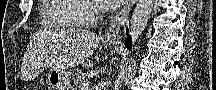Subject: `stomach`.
Listing matches in <instances>:
<instances>
[{
    "label": "stomach",
    "instance_id": "0dacf381",
    "mask_svg": "<svg viewBox=\"0 0 216 90\" xmlns=\"http://www.w3.org/2000/svg\"><path fill=\"white\" fill-rule=\"evenodd\" d=\"M109 44H114L110 42ZM48 84L53 90H68L70 85V73L65 69L51 68L47 74Z\"/></svg>",
    "mask_w": 216,
    "mask_h": 90
}]
</instances>
